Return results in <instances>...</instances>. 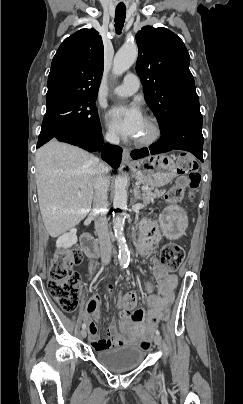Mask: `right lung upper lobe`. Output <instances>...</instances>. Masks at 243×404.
<instances>
[{
    "instance_id": "obj_1",
    "label": "right lung upper lobe",
    "mask_w": 243,
    "mask_h": 404,
    "mask_svg": "<svg viewBox=\"0 0 243 404\" xmlns=\"http://www.w3.org/2000/svg\"><path fill=\"white\" fill-rule=\"evenodd\" d=\"M103 55L102 38L94 29H81L66 38L52 61L46 104L97 97L104 68Z\"/></svg>"
}]
</instances>
